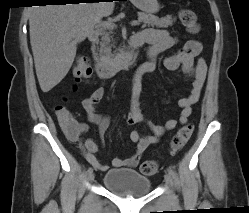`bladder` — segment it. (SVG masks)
Masks as SVG:
<instances>
[{
	"label": "bladder",
	"instance_id": "obj_1",
	"mask_svg": "<svg viewBox=\"0 0 249 213\" xmlns=\"http://www.w3.org/2000/svg\"><path fill=\"white\" fill-rule=\"evenodd\" d=\"M103 186L115 195L136 197L150 193L152 181L134 169L118 168L105 174Z\"/></svg>",
	"mask_w": 249,
	"mask_h": 213
}]
</instances>
